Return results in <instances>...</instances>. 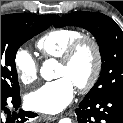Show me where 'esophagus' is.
Segmentation results:
<instances>
[{
  "instance_id": "esophagus-1",
  "label": "esophagus",
  "mask_w": 123,
  "mask_h": 123,
  "mask_svg": "<svg viewBox=\"0 0 123 123\" xmlns=\"http://www.w3.org/2000/svg\"><path fill=\"white\" fill-rule=\"evenodd\" d=\"M42 117L47 121H55L58 119V116L54 115H42Z\"/></svg>"
}]
</instances>
